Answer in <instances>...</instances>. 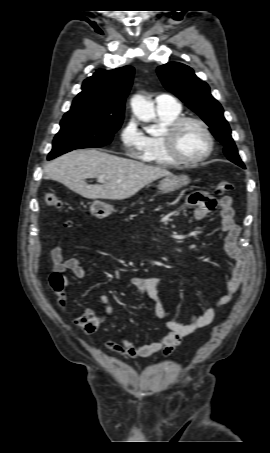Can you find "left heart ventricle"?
<instances>
[{"mask_svg":"<svg viewBox=\"0 0 270 453\" xmlns=\"http://www.w3.org/2000/svg\"><path fill=\"white\" fill-rule=\"evenodd\" d=\"M177 152L185 158H197L207 149V138L202 128L195 123L185 124L176 138Z\"/></svg>","mask_w":270,"mask_h":453,"instance_id":"1","label":"left heart ventricle"}]
</instances>
